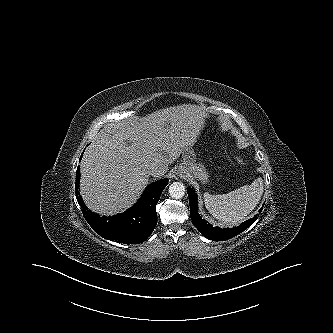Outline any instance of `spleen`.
Returning <instances> with one entry per match:
<instances>
[{
    "label": "spleen",
    "mask_w": 333,
    "mask_h": 333,
    "mask_svg": "<svg viewBox=\"0 0 333 333\" xmlns=\"http://www.w3.org/2000/svg\"><path fill=\"white\" fill-rule=\"evenodd\" d=\"M263 195V180L255 179L251 185H244L222 195L204 193V203L209 213L222 223L238 224L245 220Z\"/></svg>",
    "instance_id": "obj_1"
}]
</instances>
